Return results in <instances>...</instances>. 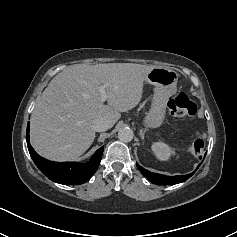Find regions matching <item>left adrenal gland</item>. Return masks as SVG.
<instances>
[{
	"label": "left adrenal gland",
	"instance_id": "left-adrenal-gland-1",
	"mask_svg": "<svg viewBox=\"0 0 237 237\" xmlns=\"http://www.w3.org/2000/svg\"><path fill=\"white\" fill-rule=\"evenodd\" d=\"M146 130H140V135L141 138L144 140V135H145Z\"/></svg>",
	"mask_w": 237,
	"mask_h": 237
}]
</instances>
